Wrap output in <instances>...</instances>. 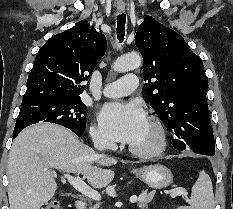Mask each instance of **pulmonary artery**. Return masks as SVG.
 <instances>
[{"instance_id":"e3ab8cb5","label":"pulmonary artery","mask_w":233,"mask_h":209,"mask_svg":"<svg viewBox=\"0 0 233 209\" xmlns=\"http://www.w3.org/2000/svg\"><path fill=\"white\" fill-rule=\"evenodd\" d=\"M138 87V77L129 74L117 79L103 88V94L108 97H120L133 93Z\"/></svg>"}]
</instances>
